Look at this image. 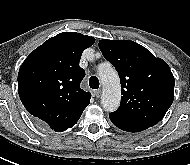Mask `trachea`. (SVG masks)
Masks as SVG:
<instances>
[{
	"mask_svg": "<svg viewBox=\"0 0 190 165\" xmlns=\"http://www.w3.org/2000/svg\"><path fill=\"white\" fill-rule=\"evenodd\" d=\"M89 86L92 89H98L99 88V80L96 76H92L89 79Z\"/></svg>",
	"mask_w": 190,
	"mask_h": 165,
	"instance_id": "3493384b",
	"label": "trachea"
}]
</instances>
